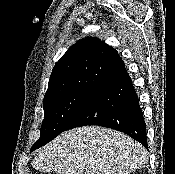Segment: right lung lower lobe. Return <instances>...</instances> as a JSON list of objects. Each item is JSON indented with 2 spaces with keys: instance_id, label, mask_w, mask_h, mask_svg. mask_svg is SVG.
I'll return each instance as SVG.
<instances>
[{
  "instance_id": "obj_1",
  "label": "right lung lower lobe",
  "mask_w": 175,
  "mask_h": 174,
  "mask_svg": "<svg viewBox=\"0 0 175 174\" xmlns=\"http://www.w3.org/2000/svg\"><path fill=\"white\" fill-rule=\"evenodd\" d=\"M87 125L124 132L148 148L143 112L125 67L106 77L90 91L66 130Z\"/></svg>"
}]
</instances>
